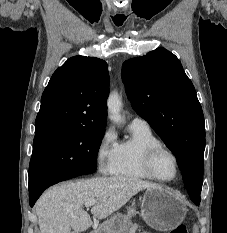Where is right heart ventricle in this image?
<instances>
[{
    "instance_id": "1",
    "label": "right heart ventricle",
    "mask_w": 227,
    "mask_h": 233,
    "mask_svg": "<svg viewBox=\"0 0 227 233\" xmlns=\"http://www.w3.org/2000/svg\"><path fill=\"white\" fill-rule=\"evenodd\" d=\"M130 133L129 139L118 143L117 163L113 174L134 179H151L143 168V154L147 148L161 143L150 129L130 127Z\"/></svg>"
}]
</instances>
